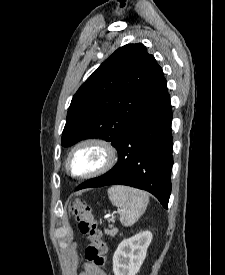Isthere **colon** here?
I'll return each instance as SVG.
<instances>
[{
	"label": "colon",
	"mask_w": 225,
	"mask_h": 275,
	"mask_svg": "<svg viewBox=\"0 0 225 275\" xmlns=\"http://www.w3.org/2000/svg\"><path fill=\"white\" fill-rule=\"evenodd\" d=\"M72 215L79 223V228L88 245L85 249V258L97 268H104L106 264L107 246L102 237L91 207L82 199H77L72 205Z\"/></svg>",
	"instance_id": "5ec220e1"
}]
</instances>
